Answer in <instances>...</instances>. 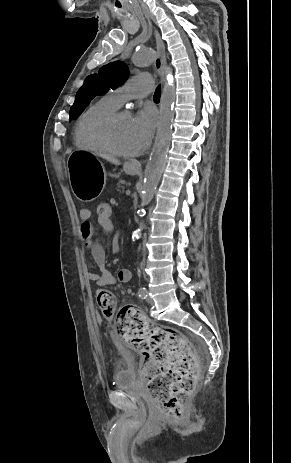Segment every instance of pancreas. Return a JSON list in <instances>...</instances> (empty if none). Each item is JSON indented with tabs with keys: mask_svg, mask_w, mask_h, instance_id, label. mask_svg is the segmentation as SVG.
Listing matches in <instances>:
<instances>
[{
	"mask_svg": "<svg viewBox=\"0 0 291 463\" xmlns=\"http://www.w3.org/2000/svg\"><path fill=\"white\" fill-rule=\"evenodd\" d=\"M123 184H124V181L120 180L115 186H113V190L117 196L124 194L125 188Z\"/></svg>",
	"mask_w": 291,
	"mask_h": 463,
	"instance_id": "pancreas-1",
	"label": "pancreas"
}]
</instances>
